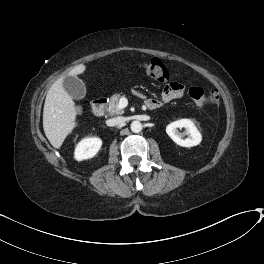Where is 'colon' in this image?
I'll return each instance as SVG.
<instances>
[{
    "mask_svg": "<svg viewBox=\"0 0 264 264\" xmlns=\"http://www.w3.org/2000/svg\"><path fill=\"white\" fill-rule=\"evenodd\" d=\"M140 65L149 76L156 80L165 81L169 78L166 66L158 58L145 60ZM187 94L191 100L200 106L218 107L220 104V96L215 89L204 92L200 87H191L188 89Z\"/></svg>",
    "mask_w": 264,
    "mask_h": 264,
    "instance_id": "colon-1",
    "label": "colon"
}]
</instances>
